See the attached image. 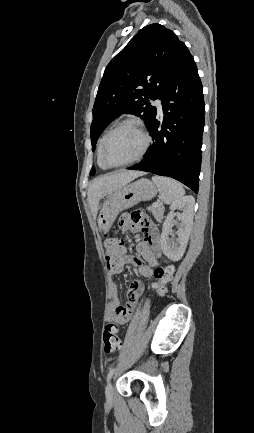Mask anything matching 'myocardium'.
<instances>
[{
	"mask_svg": "<svg viewBox=\"0 0 254 433\" xmlns=\"http://www.w3.org/2000/svg\"><path fill=\"white\" fill-rule=\"evenodd\" d=\"M127 125H131V126L136 127L138 129V131L141 133V135L143 136L144 143H143V146H142L140 152L134 158H132L126 162L120 163V164H113V163L106 161L105 157H104V148L106 146L107 141L117 130H119L123 126H127ZM150 144H151V137H150L148 131L146 130V128L144 127V125L139 120H136V119H125V120L121 121L120 123H118L115 127H113L105 135V137L102 141L100 150H99V158H100L101 162L108 168L125 167V166L131 165V164L136 163L139 160H141L144 157V155L146 154V152L148 151Z\"/></svg>",
	"mask_w": 254,
	"mask_h": 433,
	"instance_id": "obj_1",
	"label": "myocardium"
}]
</instances>
